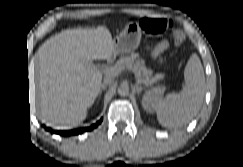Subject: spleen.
<instances>
[{"label": "spleen", "mask_w": 243, "mask_h": 167, "mask_svg": "<svg viewBox=\"0 0 243 167\" xmlns=\"http://www.w3.org/2000/svg\"><path fill=\"white\" fill-rule=\"evenodd\" d=\"M185 86L179 94H168L156 103L159 123L164 127H181L201 109L205 95V76L197 54H192L184 71Z\"/></svg>", "instance_id": "3e777b00"}]
</instances>
